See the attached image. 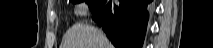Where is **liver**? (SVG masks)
I'll list each match as a JSON object with an SVG mask.
<instances>
[{
  "label": "liver",
  "instance_id": "6515ba94",
  "mask_svg": "<svg viewBox=\"0 0 213 48\" xmlns=\"http://www.w3.org/2000/svg\"><path fill=\"white\" fill-rule=\"evenodd\" d=\"M60 48H113V45L98 28L76 23L64 35Z\"/></svg>",
  "mask_w": 213,
  "mask_h": 48
}]
</instances>
